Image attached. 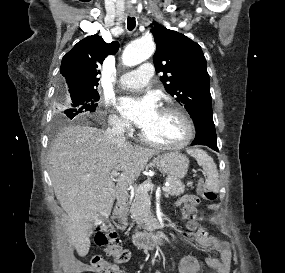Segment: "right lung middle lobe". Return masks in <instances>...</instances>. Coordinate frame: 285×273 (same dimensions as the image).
I'll return each instance as SVG.
<instances>
[{"mask_svg":"<svg viewBox=\"0 0 285 273\" xmlns=\"http://www.w3.org/2000/svg\"><path fill=\"white\" fill-rule=\"evenodd\" d=\"M100 99L97 90L67 92L65 87L58 90L57 101L59 104L56 122L73 119L80 113L94 112L96 102Z\"/></svg>","mask_w":285,"mask_h":273,"instance_id":"1","label":"right lung middle lobe"}]
</instances>
